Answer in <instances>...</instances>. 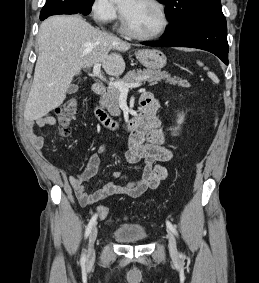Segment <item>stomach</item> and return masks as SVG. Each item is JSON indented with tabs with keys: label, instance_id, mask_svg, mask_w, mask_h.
Listing matches in <instances>:
<instances>
[{
	"label": "stomach",
	"instance_id": "stomach-1",
	"mask_svg": "<svg viewBox=\"0 0 259 283\" xmlns=\"http://www.w3.org/2000/svg\"><path fill=\"white\" fill-rule=\"evenodd\" d=\"M136 58L140 63L151 70H159L166 65L165 54L157 49H143L136 52Z\"/></svg>",
	"mask_w": 259,
	"mask_h": 283
}]
</instances>
